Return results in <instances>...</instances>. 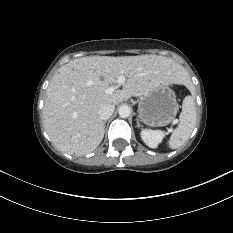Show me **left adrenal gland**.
<instances>
[{
    "label": "left adrenal gland",
    "mask_w": 233,
    "mask_h": 233,
    "mask_svg": "<svg viewBox=\"0 0 233 233\" xmlns=\"http://www.w3.org/2000/svg\"><path fill=\"white\" fill-rule=\"evenodd\" d=\"M136 123H137V127H141V125H140V123H139V119L138 118H136Z\"/></svg>",
    "instance_id": "obj_1"
}]
</instances>
